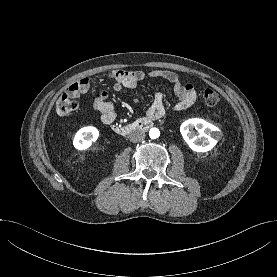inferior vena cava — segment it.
<instances>
[{
  "label": "inferior vena cava",
  "mask_w": 277,
  "mask_h": 277,
  "mask_svg": "<svg viewBox=\"0 0 277 277\" xmlns=\"http://www.w3.org/2000/svg\"><path fill=\"white\" fill-rule=\"evenodd\" d=\"M144 138H145V133L142 131H139V130L133 131L129 135V139L133 143L140 142V141L144 140Z\"/></svg>",
  "instance_id": "obj_1"
}]
</instances>
